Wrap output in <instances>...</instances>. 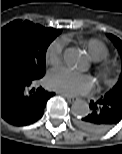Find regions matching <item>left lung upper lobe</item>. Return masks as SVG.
Returning <instances> with one entry per match:
<instances>
[{
    "mask_svg": "<svg viewBox=\"0 0 122 154\" xmlns=\"http://www.w3.org/2000/svg\"><path fill=\"white\" fill-rule=\"evenodd\" d=\"M108 36L113 41L114 45L117 47L122 59V41L112 34H109ZM108 93L111 94V96H113L119 103L122 104V71L118 82Z\"/></svg>",
    "mask_w": 122,
    "mask_h": 154,
    "instance_id": "left-lung-upper-lobe-1",
    "label": "left lung upper lobe"
}]
</instances>
